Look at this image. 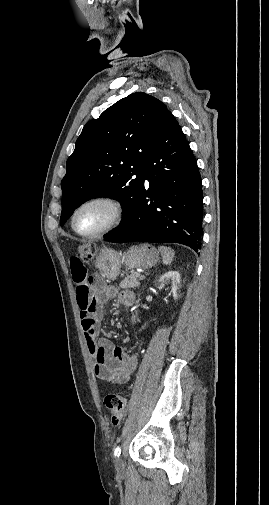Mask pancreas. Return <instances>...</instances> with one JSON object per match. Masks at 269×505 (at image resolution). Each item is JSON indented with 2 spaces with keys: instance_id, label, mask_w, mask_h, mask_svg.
Here are the masks:
<instances>
[{
  "instance_id": "obj_1",
  "label": "pancreas",
  "mask_w": 269,
  "mask_h": 505,
  "mask_svg": "<svg viewBox=\"0 0 269 505\" xmlns=\"http://www.w3.org/2000/svg\"><path fill=\"white\" fill-rule=\"evenodd\" d=\"M140 274L137 272L131 273L124 280L121 281L119 287L122 289L126 288H137L140 286Z\"/></svg>"
}]
</instances>
